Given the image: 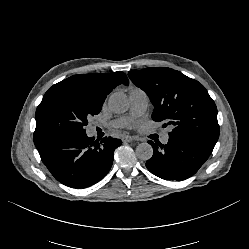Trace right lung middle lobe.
<instances>
[{
	"mask_svg": "<svg viewBox=\"0 0 249 249\" xmlns=\"http://www.w3.org/2000/svg\"><path fill=\"white\" fill-rule=\"evenodd\" d=\"M102 106L75 90L45 94L36 110V136L82 134L88 118L100 113Z\"/></svg>",
	"mask_w": 249,
	"mask_h": 249,
	"instance_id": "right-lung-middle-lobe-1",
	"label": "right lung middle lobe"
}]
</instances>
